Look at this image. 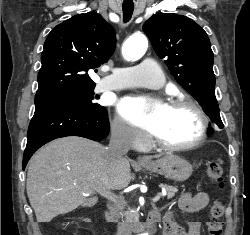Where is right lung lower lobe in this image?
<instances>
[{"instance_id": "obj_1", "label": "right lung lower lobe", "mask_w": 250, "mask_h": 235, "mask_svg": "<svg viewBox=\"0 0 250 235\" xmlns=\"http://www.w3.org/2000/svg\"><path fill=\"white\" fill-rule=\"evenodd\" d=\"M108 132L109 121L105 108L91 110L76 104L37 103L28 128L23 169L41 146L56 138L80 136L99 141Z\"/></svg>"}]
</instances>
